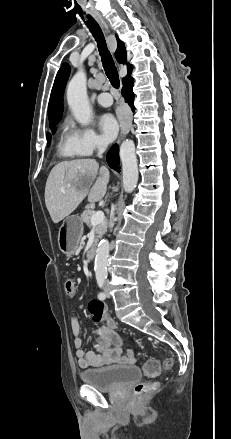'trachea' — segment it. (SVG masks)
Listing matches in <instances>:
<instances>
[{
  "label": "trachea",
  "instance_id": "trachea-1",
  "mask_svg": "<svg viewBox=\"0 0 231 439\" xmlns=\"http://www.w3.org/2000/svg\"><path fill=\"white\" fill-rule=\"evenodd\" d=\"M85 24L90 29L97 42V46L102 58L103 67L111 85L114 88L118 89L120 86L118 71L114 64L113 58L107 48L106 41L100 26L92 17H89Z\"/></svg>",
  "mask_w": 231,
  "mask_h": 439
}]
</instances>
